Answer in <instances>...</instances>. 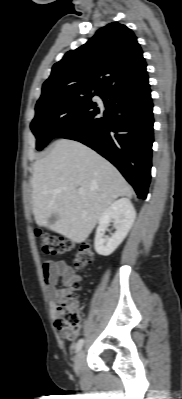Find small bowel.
Returning <instances> with one entry per match:
<instances>
[{
	"mask_svg": "<svg viewBox=\"0 0 182 399\" xmlns=\"http://www.w3.org/2000/svg\"><path fill=\"white\" fill-rule=\"evenodd\" d=\"M42 275L45 281L51 315L56 321V308L58 303L73 293L75 290L73 286L79 282L80 277L76 274L75 270L63 260L45 261L42 265ZM60 334L66 339L73 340L77 336L78 330L73 338H67L61 332Z\"/></svg>",
	"mask_w": 182,
	"mask_h": 399,
	"instance_id": "obj_1",
	"label": "small bowel"
}]
</instances>
